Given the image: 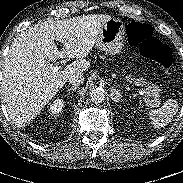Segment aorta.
Wrapping results in <instances>:
<instances>
[{
  "mask_svg": "<svg viewBox=\"0 0 183 183\" xmlns=\"http://www.w3.org/2000/svg\"><path fill=\"white\" fill-rule=\"evenodd\" d=\"M91 101L95 104L102 103L105 98L104 90L102 88H94L90 91Z\"/></svg>",
  "mask_w": 183,
  "mask_h": 183,
  "instance_id": "762f6f07",
  "label": "aorta"
}]
</instances>
